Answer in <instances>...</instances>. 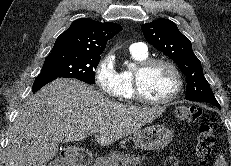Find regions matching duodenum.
I'll use <instances>...</instances> for the list:
<instances>
[{
    "label": "duodenum",
    "mask_w": 231,
    "mask_h": 166,
    "mask_svg": "<svg viewBox=\"0 0 231 166\" xmlns=\"http://www.w3.org/2000/svg\"><path fill=\"white\" fill-rule=\"evenodd\" d=\"M63 159L68 166H90L92 156L86 151L69 150L65 152Z\"/></svg>",
    "instance_id": "1"
}]
</instances>
